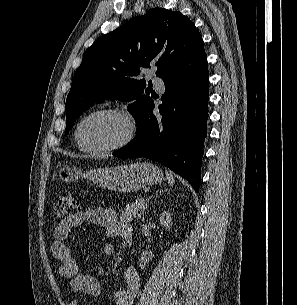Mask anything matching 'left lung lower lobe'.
<instances>
[{"instance_id": "left-lung-lower-lobe-1", "label": "left lung lower lobe", "mask_w": 297, "mask_h": 305, "mask_svg": "<svg viewBox=\"0 0 297 305\" xmlns=\"http://www.w3.org/2000/svg\"><path fill=\"white\" fill-rule=\"evenodd\" d=\"M208 69L176 70L163 78L160 116L151 100L137 120L136 136L117 157H145L160 162L200 187L203 144L207 135Z\"/></svg>"}]
</instances>
